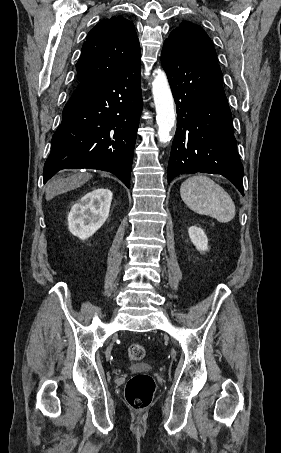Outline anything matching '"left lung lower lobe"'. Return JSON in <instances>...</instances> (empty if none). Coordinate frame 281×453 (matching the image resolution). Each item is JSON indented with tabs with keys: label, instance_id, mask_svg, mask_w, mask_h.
<instances>
[{
	"label": "left lung lower lobe",
	"instance_id": "obj_1",
	"mask_svg": "<svg viewBox=\"0 0 281 453\" xmlns=\"http://www.w3.org/2000/svg\"><path fill=\"white\" fill-rule=\"evenodd\" d=\"M177 111L168 183L179 174H221L243 192L232 116L214 57H193L165 42L161 56Z\"/></svg>",
	"mask_w": 281,
	"mask_h": 453
}]
</instances>
